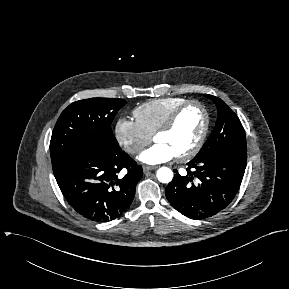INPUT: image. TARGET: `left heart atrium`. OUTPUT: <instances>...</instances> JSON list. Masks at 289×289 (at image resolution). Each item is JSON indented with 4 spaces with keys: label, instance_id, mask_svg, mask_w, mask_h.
<instances>
[{
    "label": "left heart atrium",
    "instance_id": "39dd6f15",
    "mask_svg": "<svg viewBox=\"0 0 289 289\" xmlns=\"http://www.w3.org/2000/svg\"><path fill=\"white\" fill-rule=\"evenodd\" d=\"M174 157L176 155L167 145L156 142L151 147L145 149L138 159L146 164L154 165L170 161Z\"/></svg>",
    "mask_w": 289,
    "mask_h": 289
}]
</instances>
